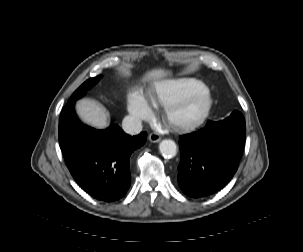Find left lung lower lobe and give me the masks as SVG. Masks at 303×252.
<instances>
[{"label": "left lung lower lobe", "mask_w": 303, "mask_h": 252, "mask_svg": "<svg viewBox=\"0 0 303 252\" xmlns=\"http://www.w3.org/2000/svg\"><path fill=\"white\" fill-rule=\"evenodd\" d=\"M245 124L206 125L180 137L178 184L190 197L222 189L235 174L243 153Z\"/></svg>", "instance_id": "0a47b994"}]
</instances>
